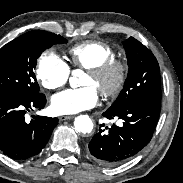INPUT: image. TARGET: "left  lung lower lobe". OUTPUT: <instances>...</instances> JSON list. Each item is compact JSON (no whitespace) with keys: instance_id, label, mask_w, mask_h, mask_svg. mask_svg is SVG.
<instances>
[{"instance_id":"1","label":"left lung lower lobe","mask_w":183,"mask_h":183,"mask_svg":"<svg viewBox=\"0 0 183 183\" xmlns=\"http://www.w3.org/2000/svg\"><path fill=\"white\" fill-rule=\"evenodd\" d=\"M160 108L157 103L133 102L105 111L104 117H117L123 123L106 127L107 132L100 129L94 135L89 143L91 157L103 166H114L136 155L150 142Z\"/></svg>"}]
</instances>
